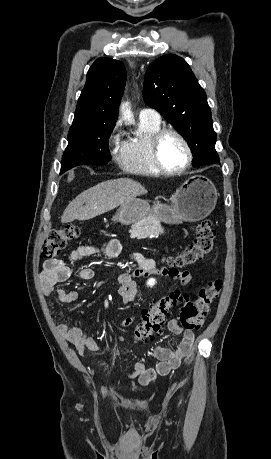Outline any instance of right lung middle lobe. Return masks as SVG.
<instances>
[{"label":"right lung middle lobe","instance_id":"right-lung-middle-lobe-1","mask_svg":"<svg viewBox=\"0 0 271 459\" xmlns=\"http://www.w3.org/2000/svg\"><path fill=\"white\" fill-rule=\"evenodd\" d=\"M117 118H74L68 133V146L63 154L61 172L85 164L103 165L111 156L108 149L109 136Z\"/></svg>","mask_w":271,"mask_h":459}]
</instances>
